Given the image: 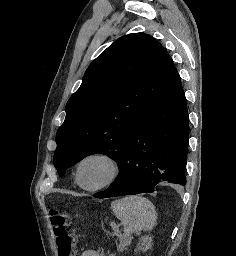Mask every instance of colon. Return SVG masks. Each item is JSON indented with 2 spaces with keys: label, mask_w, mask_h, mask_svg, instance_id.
<instances>
[{
  "label": "colon",
  "mask_w": 236,
  "mask_h": 256,
  "mask_svg": "<svg viewBox=\"0 0 236 256\" xmlns=\"http://www.w3.org/2000/svg\"><path fill=\"white\" fill-rule=\"evenodd\" d=\"M50 223L55 238L57 256H74L72 249L74 236L65 212L59 210L50 211Z\"/></svg>",
  "instance_id": "obj_1"
}]
</instances>
